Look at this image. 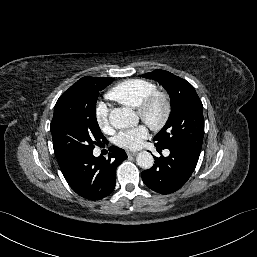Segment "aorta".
Segmentation results:
<instances>
[{
    "label": "aorta",
    "instance_id": "aorta-1",
    "mask_svg": "<svg viewBox=\"0 0 257 257\" xmlns=\"http://www.w3.org/2000/svg\"><path fill=\"white\" fill-rule=\"evenodd\" d=\"M110 124L117 128H128L137 125L138 116L130 108H114L109 114ZM137 164L143 169H150L154 164L151 153L141 151L136 157Z\"/></svg>",
    "mask_w": 257,
    "mask_h": 257
}]
</instances>
